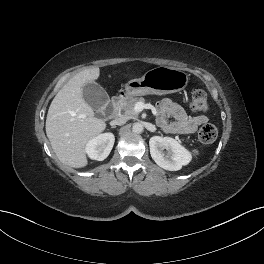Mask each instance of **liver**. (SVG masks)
<instances>
[{
    "label": "liver",
    "mask_w": 264,
    "mask_h": 264,
    "mask_svg": "<svg viewBox=\"0 0 264 264\" xmlns=\"http://www.w3.org/2000/svg\"><path fill=\"white\" fill-rule=\"evenodd\" d=\"M98 67L74 75L56 94L46 118V134L58 159L73 168L88 164L85 147L106 128L102 119L85 102L82 88L97 80Z\"/></svg>",
    "instance_id": "1"
}]
</instances>
